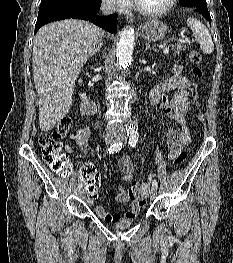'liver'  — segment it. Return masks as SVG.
I'll list each match as a JSON object with an SVG mask.
<instances>
[{"label": "liver", "instance_id": "1", "mask_svg": "<svg viewBox=\"0 0 233 263\" xmlns=\"http://www.w3.org/2000/svg\"><path fill=\"white\" fill-rule=\"evenodd\" d=\"M103 35L94 24L76 19L49 23L37 32L32 65L42 131L69 112L77 76Z\"/></svg>", "mask_w": 233, "mask_h": 263}]
</instances>
